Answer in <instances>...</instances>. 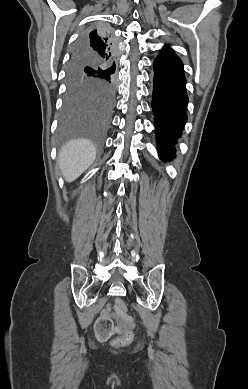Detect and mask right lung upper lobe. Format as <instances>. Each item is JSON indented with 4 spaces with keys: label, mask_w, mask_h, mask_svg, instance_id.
<instances>
[{
    "label": "right lung upper lobe",
    "mask_w": 248,
    "mask_h": 389,
    "mask_svg": "<svg viewBox=\"0 0 248 389\" xmlns=\"http://www.w3.org/2000/svg\"><path fill=\"white\" fill-rule=\"evenodd\" d=\"M105 33V31L97 29L88 32L83 39L84 47L91 53L90 55H92L94 58H98L115 66L117 48L116 45H114V48H112L111 45H108V41L105 40Z\"/></svg>",
    "instance_id": "right-lung-upper-lobe-1"
}]
</instances>
